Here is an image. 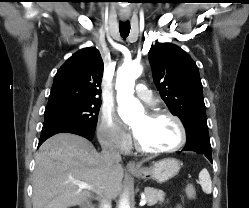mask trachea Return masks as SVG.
Masks as SVG:
<instances>
[{"mask_svg":"<svg viewBox=\"0 0 249 208\" xmlns=\"http://www.w3.org/2000/svg\"><path fill=\"white\" fill-rule=\"evenodd\" d=\"M119 31H120V34L123 38H126L128 35H129V32H130V23L127 21V22H120L119 23Z\"/></svg>","mask_w":249,"mask_h":208,"instance_id":"trachea-1","label":"trachea"}]
</instances>
